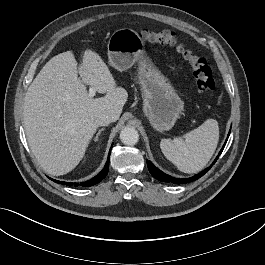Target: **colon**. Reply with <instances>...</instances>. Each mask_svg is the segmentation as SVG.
<instances>
[{"instance_id": "1", "label": "colon", "mask_w": 265, "mask_h": 265, "mask_svg": "<svg viewBox=\"0 0 265 265\" xmlns=\"http://www.w3.org/2000/svg\"><path fill=\"white\" fill-rule=\"evenodd\" d=\"M141 38L149 43L174 47L178 53L191 65L196 87L202 94L209 95L215 89L212 71L205 57L198 55L194 50L181 42L178 36L170 30L152 31L143 30Z\"/></svg>"}]
</instances>
